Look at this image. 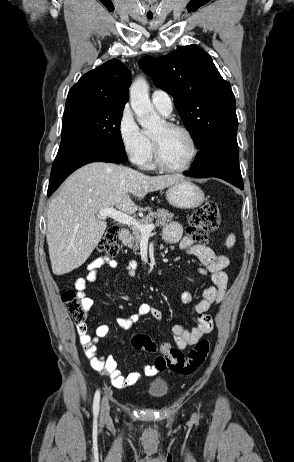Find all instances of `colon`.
<instances>
[{
	"mask_svg": "<svg viewBox=\"0 0 294 462\" xmlns=\"http://www.w3.org/2000/svg\"><path fill=\"white\" fill-rule=\"evenodd\" d=\"M220 224L219 208L215 202H207L200 206L191 216L186 233L198 245L205 246L207 235L215 230ZM118 228L109 227L98 245V249L109 256H115L119 252L116 242ZM61 299L65 304L72 320L77 324L85 321V309L82 299L72 289H64ZM132 345L139 350L156 352V343L148 336L138 334L133 337ZM210 350L209 341L202 339L188 352L165 346L162 355L155 358L154 364L160 370L190 375L196 372L205 362Z\"/></svg>",
	"mask_w": 294,
	"mask_h": 462,
	"instance_id": "obj_1",
	"label": "colon"
}]
</instances>
